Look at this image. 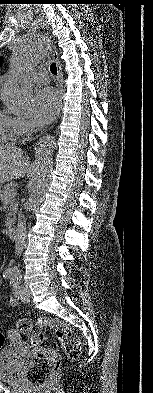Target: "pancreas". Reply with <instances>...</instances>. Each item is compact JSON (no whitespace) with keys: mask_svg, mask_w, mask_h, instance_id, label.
<instances>
[{"mask_svg":"<svg viewBox=\"0 0 153 393\" xmlns=\"http://www.w3.org/2000/svg\"><path fill=\"white\" fill-rule=\"evenodd\" d=\"M13 188H15L14 184H8L5 185L3 190L0 191V201L4 204H8V214L6 215V221H5V226L6 227H10L12 225V223L14 222L15 218V212L17 210V204L15 203V198L8 197V194L10 192V190H12Z\"/></svg>","mask_w":153,"mask_h":393,"instance_id":"cf45deb5","label":"pancreas"}]
</instances>
